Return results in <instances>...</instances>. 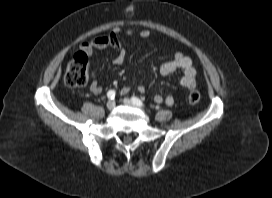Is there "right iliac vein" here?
<instances>
[{
  "instance_id": "63e3f726",
  "label": "right iliac vein",
  "mask_w": 272,
  "mask_h": 198,
  "mask_svg": "<svg viewBox=\"0 0 272 198\" xmlns=\"http://www.w3.org/2000/svg\"><path fill=\"white\" fill-rule=\"evenodd\" d=\"M115 106H116L115 101L110 100V101L107 102V108L109 110H113L115 108Z\"/></svg>"
}]
</instances>
